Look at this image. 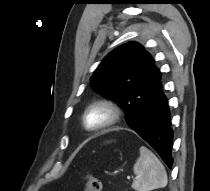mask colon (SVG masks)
<instances>
[{
  "label": "colon",
  "mask_w": 210,
  "mask_h": 191,
  "mask_svg": "<svg viewBox=\"0 0 210 191\" xmlns=\"http://www.w3.org/2000/svg\"><path fill=\"white\" fill-rule=\"evenodd\" d=\"M85 191H100L101 182L100 180L93 175H85L83 178Z\"/></svg>",
  "instance_id": "1"
}]
</instances>
